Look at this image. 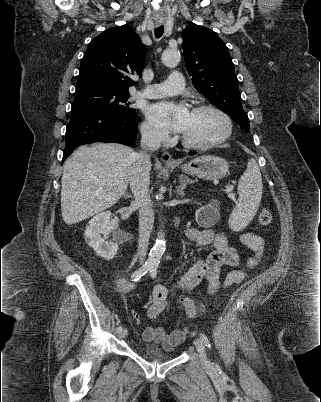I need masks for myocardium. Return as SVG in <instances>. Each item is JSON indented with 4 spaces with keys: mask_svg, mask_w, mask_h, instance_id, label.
<instances>
[{
    "mask_svg": "<svg viewBox=\"0 0 321 402\" xmlns=\"http://www.w3.org/2000/svg\"><path fill=\"white\" fill-rule=\"evenodd\" d=\"M201 110H211L216 112L218 115L221 116V118L224 121L225 124V129L224 132L216 139L212 141H207V142H195L191 141L188 138H186L183 134L181 135V141L184 146L188 148H193V149H209L216 147L223 142H225L232 134L233 131V122L231 117L227 112H225L223 109L220 107L214 105V104H209V103H203L196 105L192 111H201Z\"/></svg>",
    "mask_w": 321,
    "mask_h": 402,
    "instance_id": "1",
    "label": "myocardium"
}]
</instances>
